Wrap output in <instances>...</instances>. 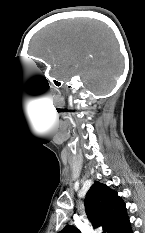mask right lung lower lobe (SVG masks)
<instances>
[{
  "instance_id": "1",
  "label": "right lung lower lobe",
  "mask_w": 145,
  "mask_h": 233,
  "mask_svg": "<svg viewBox=\"0 0 145 233\" xmlns=\"http://www.w3.org/2000/svg\"><path fill=\"white\" fill-rule=\"evenodd\" d=\"M113 233H133L129 218L120 227L113 231Z\"/></svg>"
}]
</instances>
